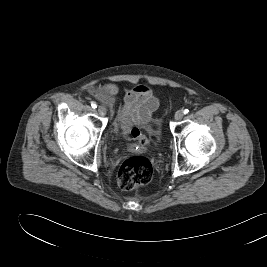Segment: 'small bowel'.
Wrapping results in <instances>:
<instances>
[{
	"label": "small bowel",
	"mask_w": 267,
	"mask_h": 267,
	"mask_svg": "<svg viewBox=\"0 0 267 267\" xmlns=\"http://www.w3.org/2000/svg\"><path fill=\"white\" fill-rule=\"evenodd\" d=\"M118 93L119 87L115 83H108L95 91L99 99L109 104L114 103ZM159 104V99L148 86L135 85L124 94L119 113V123L122 126L136 124L145 127L149 124L152 113L158 109Z\"/></svg>",
	"instance_id": "1"
}]
</instances>
